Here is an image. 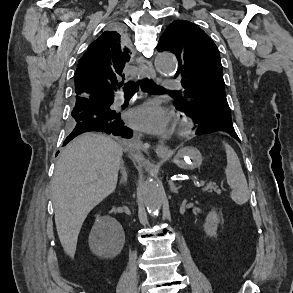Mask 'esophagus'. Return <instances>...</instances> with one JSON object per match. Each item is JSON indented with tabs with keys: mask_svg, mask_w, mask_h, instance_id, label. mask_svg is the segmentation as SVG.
Returning <instances> with one entry per match:
<instances>
[{
	"mask_svg": "<svg viewBox=\"0 0 293 293\" xmlns=\"http://www.w3.org/2000/svg\"><path fill=\"white\" fill-rule=\"evenodd\" d=\"M137 64L139 66L140 72L142 74L143 77H149L154 79L156 77V73L155 70L153 68L152 63L143 58H137ZM141 135L138 134L136 135V139L140 140L141 139ZM156 153L158 156H168L170 154V151L168 149V147L166 145H164L163 142H160L157 146H156Z\"/></svg>",
	"mask_w": 293,
	"mask_h": 293,
	"instance_id": "34e87169",
	"label": "esophagus"
}]
</instances>
